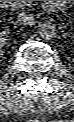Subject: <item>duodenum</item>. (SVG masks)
I'll return each mask as SVG.
<instances>
[{
    "label": "duodenum",
    "mask_w": 74,
    "mask_h": 122,
    "mask_svg": "<svg viewBox=\"0 0 74 122\" xmlns=\"http://www.w3.org/2000/svg\"><path fill=\"white\" fill-rule=\"evenodd\" d=\"M60 2L61 1H43V9L48 13L53 12L59 8ZM2 4L5 7H10L14 6V1H2Z\"/></svg>",
    "instance_id": "1"
}]
</instances>
